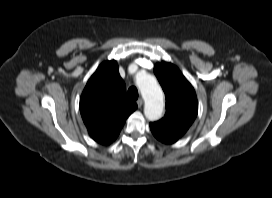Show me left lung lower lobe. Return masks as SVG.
Masks as SVG:
<instances>
[{"mask_svg": "<svg viewBox=\"0 0 272 198\" xmlns=\"http://www.w3.org/2000/svg\"><path fill=\"white\" fill-rule=\"evenodd\" d=\"M150 128L153 135L163 143L171 144L176 142L179 139L178 136L168 133L152 124H150Z\"/></svg>", "mask_w": 272, "mask_h": 198, "instance_id": "0a47b994", "label": "left lung lower lobe"}]
</instances>
